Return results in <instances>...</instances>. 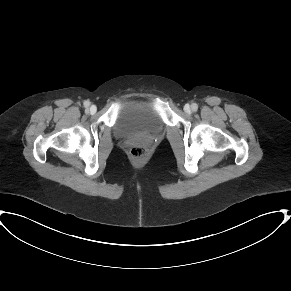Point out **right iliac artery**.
<instances>
[{
	"label": "right iliac artery",
	"instance_id": "right-iliac-artery-1",
	"mask_svg": "<svg viewBox=\"0 0 291 291\" xmlns=\"http://www.w3.org/2000/svg\"><path fill=\"white\" fill-rule=\"evenodd\" d=\"M89 105H90V102H89V101H85V102H84V106H85V107H89Z\"/></svg>",
	"mask_w": 291,
	"mask_h": 291
}]
</instances>
